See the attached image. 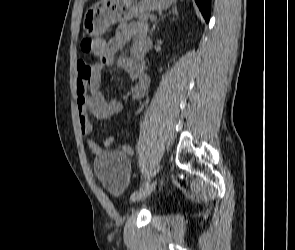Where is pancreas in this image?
Here are the masks:
<instances>
[{"label": "pancreas", "instance_id": "obj_1", "mask_svg": "<svg viewBox=\"0 0 295 250\" xmlns=\"http://www.w3.org/2000/svg\"><path fill=\"white\" fill-rule=\"evenodd\" d=\"M153 15L152 14H149V13H142V14H139L137 16V19H138V22L137 23H141V24H146L148 19L151 18ZM136 24V22L134 23Z\"/></svg>", "mask_w": 295, "mask_h": 250}]
</instances>
